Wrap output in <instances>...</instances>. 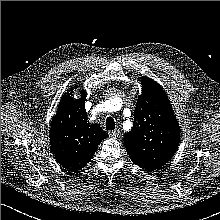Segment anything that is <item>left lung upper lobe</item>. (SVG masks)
<instances>
[{
	"instance_id": "obj_1",
	"label": "left lung upper lobe",
	"mask_w": 220,
	"mask_h": 220,
	"mask_svg": "<svg viewBox=\"0 0 220 220\" xmlns=\"http://www.w3.org/2000/svg\"><path fill=\"white\" fill-rule=\"evenodd\" d=\"M134 124L125 133L124 143L131 160L145 171L160 170L176 153L180 126L163 88L151 78H143Z\"/></svg>"
}]
</instances>
